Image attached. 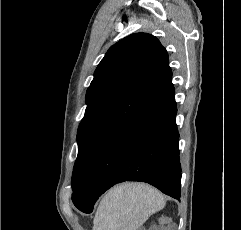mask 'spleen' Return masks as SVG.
I'll list each match as a JSON object with an SVG mask.
<instances>
[{
  "instance_id": "obj_1",
  "label": "spleen",
  "mask_w": 241,
  "mask_h": 230,
  "mask_svg": "<svg viewBox=\"0 0 241 230\" xmlns=\"http://www.w3.org/2000/svg\"><path fill=\"white\" fill-rule=\"evenodd\" d=\"M164 205V196L149 185H118L101 199L93 220V230H137Z\"/></svg>"
}]
</instances>
